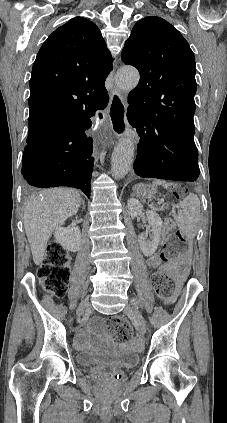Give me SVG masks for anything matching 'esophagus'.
Masks as SVG:
<instances>
[{"instance_id": "1", "label": "esophagus", "mask_w": 227, "mask_h": 423, "mask_svg": "<svg viewBox=\"0 0 227 423\" xmlns=\"http://www.w3.org/2000/svg\"><path fill=\"white\" fill-rule=\"evenodd\" d=\"M107 117L108 119L111 117L112 130L116 131V135H132L131 125H123L124 117L126 118V105L118 90H112L110 93ZM133 139L136 143L137 138L134 134Z\"/></svg>"}]
</instances>
